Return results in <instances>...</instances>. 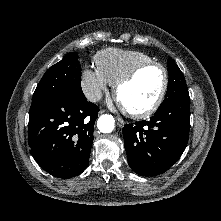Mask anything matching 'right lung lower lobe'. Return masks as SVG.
Here are the masks:
<instances>
[{
  "mask_svg": "<svg viewBox=\"0 0 221 221\" xmlns=\"http://www.w3.org/2000/svg\"><path fill=\"white\" fill-rule=\"evenodd\" d=\"M99 108L85 96H55L29 112L28 142L36 162L49 174L71 178L89 161Z\"/></svg>",
  "mask_w": 221,
  "mask_h": 221,
  "instance_id": "obj_1",
  "label": "right lung lower lobe"
}]
</instances>
